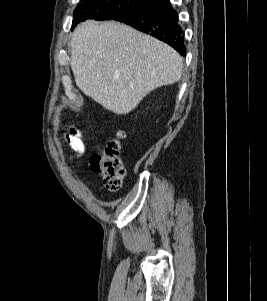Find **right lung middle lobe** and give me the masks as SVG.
<instances>
[{"label": "right lung middle lobe", "instance_id": "dd1d6c3e", "mask_svg": "<svg viewBox=\"0 0 267 301\" xmlns=\"http://www.w3.org/2000/svg\"><path fill=\"white\" fill-rule=\"evenodd\" d=\"M74 11L72 28L87 19L110 20L147 7L146 0H80Z\"/></svg>", "mask_w": 267, "mask_h": 301}]
</instances>
